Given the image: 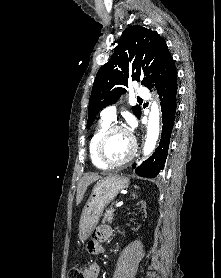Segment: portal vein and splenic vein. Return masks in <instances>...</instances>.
<instances>
[{
	"instance_id": "1",
	"label": "portal vein and splenic vein",
	"mask_w": 221,
	"mask_h": 278,
	"mask_svg": "<svg viewBox=\"0 0 221 278\" xmlns=\"http://www.w3.org/2000/svg\"><path fill=\"white\" fill-rule=\"evenodd\" d=\"M123 203L122 202H119L116 204V207H120Z\"/></svg>"
}]
</instances>
